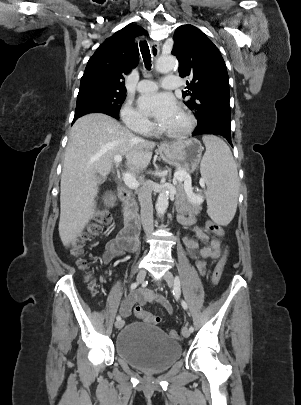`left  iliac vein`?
Wrapping results in <instances>:
<instances>
[{"instance_id":"1","label":"left iliac vein","mask_w":301,"mask_h":405,"mask_svg":"<svg viewBox=\"0 0 301 405\" xmlns=\"http://www.w3.org/2000/svg\"><path fill=\"white\" fill-rule=\"evenodd\" d=\"M164 279H165V281L167 282L168 286H169L170 288H173L174 282H175V278H174L173 274H172L170 271H167V272L164 274ZM182 335H183L185 338H187V337L190 336V331H189V329H188L187 327H183V329H182Z\"/></svg>"}]
</instances>
